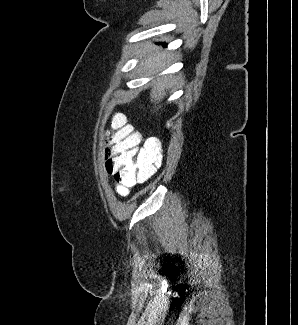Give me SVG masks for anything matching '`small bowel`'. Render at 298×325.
<instances>
[{
	"label": "small bowel",
	"instance_id": "1",
	"mask_svg": "<svg viewBox=\"0 0 298 325\" xmlns=\"http://www.w3.org/2000/svg\"><path fill=\"white\" fill-rule=\"evenodd\" d=\"M115 190L120 196H126L130 192V187L123 186V185L115 182Z\"/></svg>",
	"mask_w": 298,
	"mask_h": 325
}]
</instances>
